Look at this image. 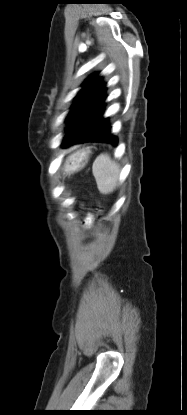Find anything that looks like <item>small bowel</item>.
I'll list each match as a JSON object with an SVG mask.
<instances>
[{"label":"small bowel","mask_w":187,"mask_h":415,"mask_svg":"<svg viewBox=\"0 0 187 415\" xmlns=\"http://www.w3.org/2000/svg\"><path fill=\"white\" fill-rule=\"evenodd\" d=\"M91 220H92L91 216L87 217V219L85 220V224L87 225L90 224Z\"/></svg>","instance_id":"1"}]
</instances>
